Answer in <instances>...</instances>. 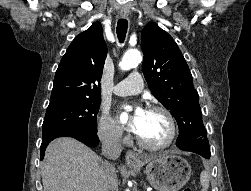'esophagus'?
I'll use <instances>...</instances> for the list:
<instances>
[{
    "label": "esophagus",
    "instance_id": "34e87169",
    "mask_svg": "<svg viewBox=\"0 0 251 191\" xmlns=\"http://www.w3.org/2000/svg\"><path fill=\"white\" fill-rule=\"evenodd\" d=\"M128 14L129 12H124V11H120L119 13L121 17H127ZM125 159L127 165L130 167H138L140 164V159L137 156H135V154L132 153V151H126Z\"/></svg>",
    "mask_w": 251,
    "mask_h": 191
}]
</instances>
